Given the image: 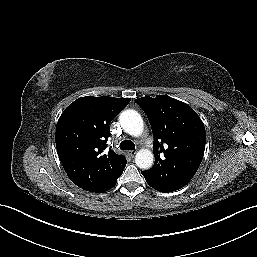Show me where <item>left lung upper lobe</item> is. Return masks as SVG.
<instances>
[{"mask_svg": "<svg viewBox=\"0 0 257 257\" xmlns=\"http://www.w3.org/2000/svg\"><path fill=\"white\" fill-rule=\"evenodd\" d=\"M135 102L144 110L152 127L153 167H168L194 176L206 143L205 127L198 114L184 102L166 95L142 97Z\"/></svg>", "mask_w": 257, "mask_h": 257, "instance_id": "obj_1", "label": "left lung upper lobe"}]
</instances>
